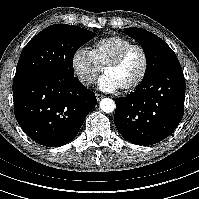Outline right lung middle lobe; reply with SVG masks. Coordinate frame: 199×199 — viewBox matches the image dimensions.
<instances>
[{"mask_svg":"<svg viewBox=\"0 0 199 199\" xmlns=\"http://www.w3.org/2000/svg\"><path fill=\"white\" fill-rule=\"evenodd\" d=\"M93 37L92 32L73 25L54 24L45 28L22 51L14 80L48 74L73 78L74 54Z\"/></svg>","mask_w":199,"mask_h":199,"instance_id":"dd1d6c3e","label":"right lung middle lobe"}]
</instances>
